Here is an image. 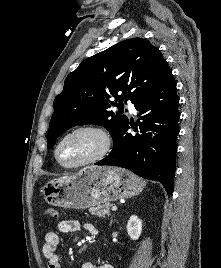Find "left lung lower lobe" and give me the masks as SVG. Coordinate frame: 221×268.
<instances>
[{"label": "left lung lower lobe", "instance_id": "1", "mask_svg": "<svg viewBox=\"0 0 221 268\" xmlns=\"http://www.w3.org/2000/svg\"><path fill=\"white\" fill-rule=\"evenodd\" d=\"M178 103L176 82L172 77L160 88L135 103L139 121L136 125L127 122L113 139L114 147L111 153L96 165L123 167L143 178L159 181L170 195L173 191L176 139L179 134ZM130 125L137 134L127 133ZM150 130L157 132L153 141H149Z\"/></svg>", "mask_w": 221, "mask_h": 268}]
</instances>
